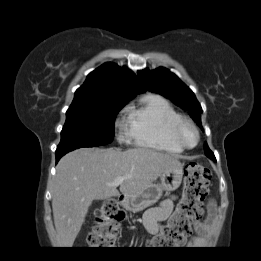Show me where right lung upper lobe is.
I'll return each instance as SVG.
<instances>
[{
  "mask_svg": "<svg viewBox=\"0 0 261 261\" xmlns=\"http://www.w3.org/2000/svg\"><path fill=\"white\" fill-rule=\"evenodd\" d=\"M143 92L145 88L132 71L114 63H105L87 76L75 92L74 99L113 96L131 100Z\"/></svg>",
  "mask_w": 261,
  "mask_h": 261,
  "instance_id": "1",
  "label": "right lung upper lobe"
}]
</instances>
